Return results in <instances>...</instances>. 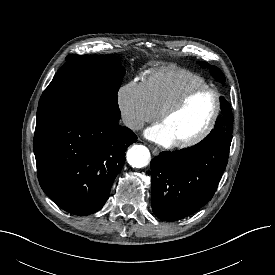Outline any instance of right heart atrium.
<instances>
[{
	"label": "right heart atrium",
	"mask_w": 275,
	"mask_h": 275,
	"mask_svg": "<svg viewBox=\"0 0 275 275\" xmlns=\"http://www.w3.org/2000/svg\"><path fill=\"white\" fill-rule=\"evenodd\" d=\"M118 105L125 125L138 129L156 117L142 83L131 81L120 88Z\"/></svg>",
	"instance_id": "d8ad5b80"
}]
</instances>
